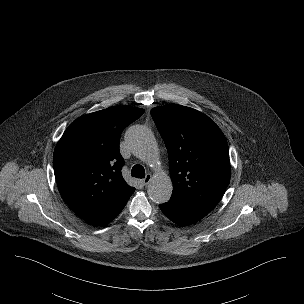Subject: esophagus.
<instances>
[{
	"instance_id": "1",
	"label": "esophagus",
	"mask_w": 304,
	"mask_h": 304,
	"mask_svg": "<svg viewBox=\"0 0 304 304\" xmlns=\"http://www.w3.org/2000/svg\"><path fill=\"white\" fill-rule=\"evenodd\" d=\"M152 179V175L151 174H146L145 178L142 179V184L143 185H147Z\"/></svg>"
}]
</instances>
